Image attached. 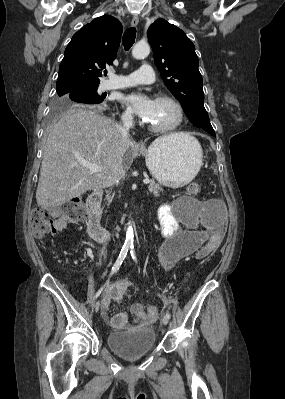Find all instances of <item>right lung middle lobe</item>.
I'll return each mask as SVG.
<instances>
[{"mask_svg":"<svg viewBox=\"0 0 285 399\" xmlns=\"http://www.w3.org/2000/svg\"><path fill=\"white\" fill-rule=\"evenodd\" d=\"M97 88L63 89L57 91L52 116H56L65 109L79 106L103 107L105 105V96L98 95Z\"/></svg>","mask_w":285,"mask_h":399,"instance_id":"dd1d6c3e","label":"right lung middle lobe"}]
</instances>
